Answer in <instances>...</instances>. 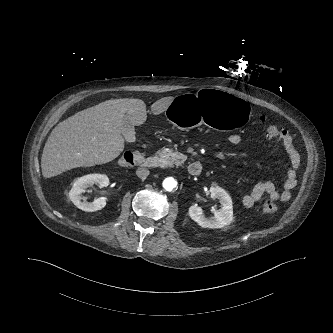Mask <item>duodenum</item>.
<instances>
[{"label":"duodenum","mask_w":333,"mask_h":333,"mask_svg":"<svg viewBox=\"0 0 333 333\" xmlns=\"http://www.w3.org/2000/svg\"><path fill=\"white\" fill-rule=\"evenodd\" d=\"M160 165L159 159L156 157H147L141 160L140 167L142 168H157ZM203 170V167L199 161H193L188 166V172L192 176H199Z\"/></svg>","instance_id":"1"}]
</instances>
